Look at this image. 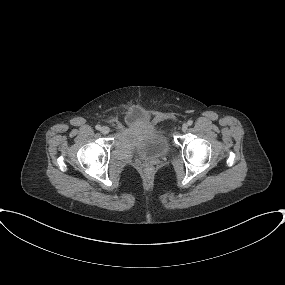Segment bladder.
<instances>
[{"label": "bladder", "mask_w": 285, "mask_h": 285, "mask_svg": "<svg viewBox=\"0 0 285 285\" xmlns=\"http://www.w3.org/2000/svg\"><path fill=\"white\" fill-rule=\"evenodd\" d=\"M127 125L129 129L138 131L142 138L139 150L151 157L166 155L171 149V142L167 131L156 124L151 123L146 116L137 110L129 114Z\"/></svg>", "instance_id": "31cf9c89"}]
</instances>
